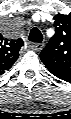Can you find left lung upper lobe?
<instances>
[{
	"instance_id": "left-lung-upper-lobe-1",
	"label": "left lung upper lobe",
	"mask_w": 71,
	"mask_h": 119,
	"mask_svg": "<svg viewBox=\"0 0 71 119\" xmlns=\"http://www.w3.org/2000/svg\"><path fill=\"white\" fill-rule=\"evenodd\" d=\"M55 34L40 53L50 71L71 74V14L55 16Z\"/></svg>"
}]
</instances>
